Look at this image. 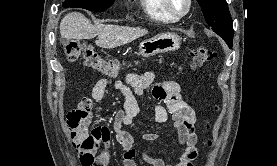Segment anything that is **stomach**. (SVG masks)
<instances>
[{
	"label": "stomach",
	"instance_id": "stomach-1",
	"mask_svg": "<svg viewBox=\"0 0 277 166\" xmlns=\"http://www.w3.org/2000/svg\"><path fill=\"white\" fill-rule=\"evenodd\" d=\"M180 45L181 38L176 33H160L150 39L142 41L139 45L138 54L148 58L159 53L175 51Z\"/></svg>",
	"mask_w": 277,
	"mask_h": 166
}]
</instances>
